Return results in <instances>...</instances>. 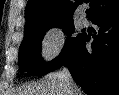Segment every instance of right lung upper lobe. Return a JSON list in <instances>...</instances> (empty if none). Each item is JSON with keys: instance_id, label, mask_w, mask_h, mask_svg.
<instances>
[{"instance_id": "cb5924a9", "label": "right lung upper lobe", "mask_w": 119, "mask_h": 95, "mask_svg": "<svg viewBox=\"0 0 119 95\" xmlns=\"http://www.w3.org/2000/svg\"><path fill=\"white\" fill-rule=\"evenodd\" d=\"M86 2V0H82ZM81 0H28L25 9L24 33L44 24L73 21V13ZM91 9L87 15L93 21L119 9V0H87Z\"/></svg>"}]
</instances>
